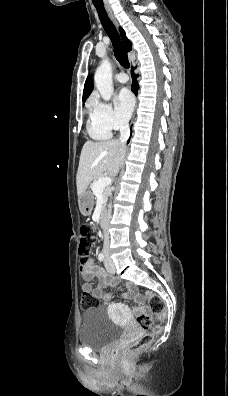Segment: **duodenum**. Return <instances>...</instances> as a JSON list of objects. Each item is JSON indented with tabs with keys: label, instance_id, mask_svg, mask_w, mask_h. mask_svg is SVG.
<instances>
[{
	"label": "duodenum",
	"instance_id": "duodenum-1",
	"mask_svg": "<svg viewBox=\"0 0 228 396\" xmlns=\"http://www.w3.org/2000/svg\"><path fill=\"white\" fill-rule=\"evenodd\" d=\"M99 225L103 230L104 235H107V227H106V210L105 207L101 209L100 215H99Z\"/></svg>",
	"mask_w": 228,
	"mask_h": 396
}]
</instances>
